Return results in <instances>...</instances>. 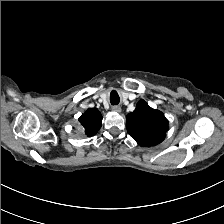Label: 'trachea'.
I'll return each mask as SVG.
<instances>
[{"mask_svg": "<svg viewBox=\"0 0 224 224\" xmlns=\"http://www.w3.org/2000/svg\"><path fill=\"white\" fill-rule=\"evenodd\" d=\"M120 98L117 94L111 95L110 97V102L112 105H117L119 104Z\"/></svg>", "mask_w": 224, "mask_h": 224, "instance_id": "3493384b", "label": "trachea"}]
</instances>
